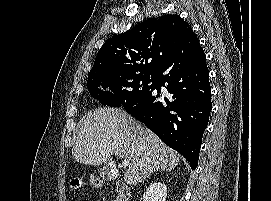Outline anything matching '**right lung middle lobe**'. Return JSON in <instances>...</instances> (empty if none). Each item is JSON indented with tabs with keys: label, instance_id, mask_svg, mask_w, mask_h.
<instances>
[{
	"label": "right lung middle lobe",
	"instance_id": "1",
	"mask_svg": "<svg viewBox=\"0 0 271 201\" xmlns=\"http://www.w3.org/2000/svg\"><path fill=\"white\" fill-rule=\"evenodd\" d=\"M154 74H104L88 77V91L100 103L121 107L153 87ZM109 87V90L100 89Z\"/></svg>",
	"mask_w": 271,
	"mask_h": 201
}]
</instances>
